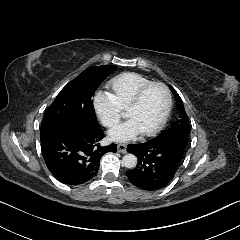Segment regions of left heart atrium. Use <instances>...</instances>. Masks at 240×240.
I'll return each instance as SVG.
<instances>
[{
  "mask_svg": "<svg viewBox=\"0 0 240 240\" xmlns=\"http://www.w3.org/2000/svg\"><path fill=\"white\" fill-rule=\"evenodd\" d=\"M141 133L140 128L137 124L128 120L113 130L109 136L112 141L126 142L135 139Z\"/></svg>",
  "mask_w": 240,
  "mask_h": 240,
  "instance_id": "obj_1",
  "label": "left heart atrium"
}]
</instances>
